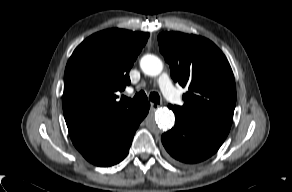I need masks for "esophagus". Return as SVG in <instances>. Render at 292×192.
Segmentation results:
<instances>
[{"label":"esophagus","instance_id":"obj_1","mask_svg":"<svg viewBox=\"0 0 292 192\" xmlns=\"http://www.w3.org/2000/svg\"><path fill=\"white\" fill-rule=\"evenodd\" d=\"M150 105H151V110L152 111H155L156 109H158L160 107L159 104L153 103V102H151Z\"/></svg>","mask_w":292,"mask_h":192}]
</instances>
